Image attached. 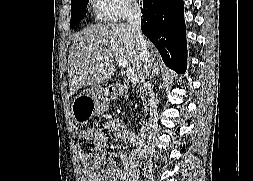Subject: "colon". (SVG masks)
Instances as JSON below:
<instances>
[{
    "instance_id": "1",
    "label": "colon",
    "mask_w": 253,
    "mask_h": 181,
    "mask_svg": "<svg viewBox=\"0 0 253 181\" xmlns=\"http://www.w3.org/2000/svg\"><path fill=\"white\" fill-rule=\"evenodd\" d=\"M78 146L84 168L89 171L96 170L106 153L103 135L94 129L86 130L80 135Z\"/></svg>"
}]
</instances>
